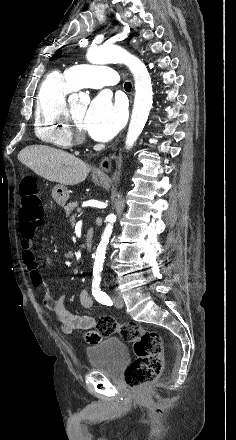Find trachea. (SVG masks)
<instances>
[{
  "label": "trachea",
  "instance_id": "trachea-1",
  "mask_svg": "<svg viewBox=\"0 0 236 440\" xmlns=\"http://www.w3.org/2000/svg\"><path fill=\"white\" fill-rule=\"evenodd\" d=\"M124 88H125V90H131V88H132L131 83H130V82H126V83L124 84Z\"/></svg>",
  "mask_w": 236,
  "mask_h": 440
}]
</instances>
